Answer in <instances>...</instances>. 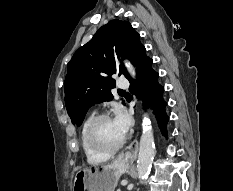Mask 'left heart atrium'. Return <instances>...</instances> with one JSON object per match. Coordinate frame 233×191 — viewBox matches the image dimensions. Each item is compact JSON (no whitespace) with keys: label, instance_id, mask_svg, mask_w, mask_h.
I'll list each match as a JSON object with an SVG mask.
<instances>
[{"label":"left heart atrium","instance_id":"39dd6f15","mask_svg":"<svg viewBox=\"0 0 233 191\" xmlns=\"http://www.w3.org/2000/svg\"><path fill=\"white\" fill-rule=\"evenodd\" d=\"M113 121L115 122L116 126L120 130L121 134L125 136L131 126V120L129 116L122 110H119Z\"/></svg>","mask_w":233,"mask_h":191}]
</instances>
